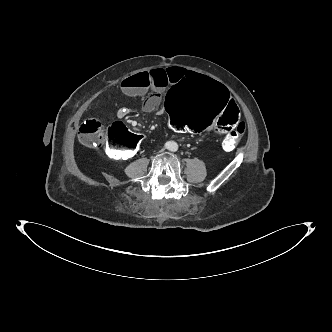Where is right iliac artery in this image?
<instances>
[{
	"mask_svg": "<svg viewBox=\"0 0 332 332\" xmlns=\"http://www.w3.org/2000/svg\"><path fill=\"white\" fill-rule=\"evenodd\" d=\"M166 147L169 148V144H166Z\"/></svg>",
	"mask_w": 332,
	"mask_h": 332,
	"instance_id": "obj_1",
	"label": "right iliac artery"
}]
</instances>
